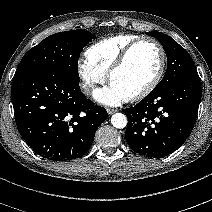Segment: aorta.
I'll list each match as a JSON object with an SVG mask.
<instances>
[{
    "label": "aorta",
    "instance_id": "1",
    "mask_svg": "<svg viewBox=\"0 0 212 212\" xmlns=\"http://www.w3.org/2000/svg\"><path fill=\"white\" fill-rule=\"evenodd\" d=\"M111 124L118 129H123L127 125V117L122 113H116L111 117Z\"/></svg>",
    "mask_w": 212,
    "mask_h": 212
}]
</instances>
